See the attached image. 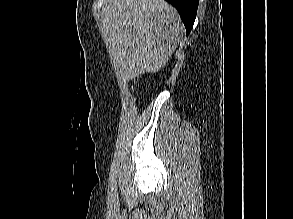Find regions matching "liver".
Returning a JSON list of instances; mask_svg holds the SVG:
<instances>
[{"mask_svg": "<svg viewBox=\"0 0 293 219\" xmlns=\"http://www.w3.org/2000/svg\"><path fill=\"white\" fill-rule=\"evenodd\" d=\"M101 21L111 60L125 81L161 69L185 30L165 0H103Z\"/></svg>", "mask_w": 293, "mask_h": 219, "instance_id": "obj_1", "label": "liver"}]
</instances>
